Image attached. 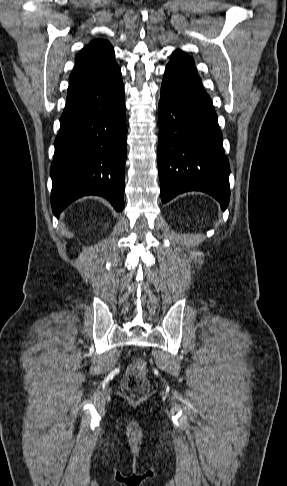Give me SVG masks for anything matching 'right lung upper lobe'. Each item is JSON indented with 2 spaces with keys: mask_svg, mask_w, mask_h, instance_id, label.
I'll use <instances>...</instances> for the list:
<instances>
[{
  "mask_svg": "<svg viewBox=\"0 0 287 486\" xmlns=\"http://www.w3.org/2000/svg\"><path fill=\"white\" fill-rule=\"evenodd\" d=\"M120 76L112 45L106 40H92L76 55L67 98L108 84Z\"/></svg>",
  "mask_w": 287,
  "mask_h": 486,
  "instance_id": "1",
  "label": "right lung upper lobe"
}]
</instances>
